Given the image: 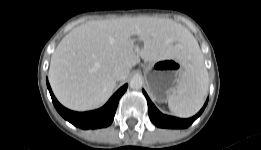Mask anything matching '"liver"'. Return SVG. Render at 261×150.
<instances>
[{"label": "liver", "instance_id": "1", "mask_svg": "<svg viewBox=\"0 0 261 150\" xmlns=\"http://www.w3.org/2000/svg\"><path fill=\"white\" fill-rule=\"evenodd\" d=\"M132 36L144 43L134 46ZM197 45L192 34L171 19L123 17L89 21L71 30L51 57L49 81L65 107L86 111L102 106L111 96L115 66L129 70L139 63L183 57Z\"/></svg>", "mask_w": 261, "mask_h": 150}]
</instances>
